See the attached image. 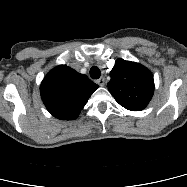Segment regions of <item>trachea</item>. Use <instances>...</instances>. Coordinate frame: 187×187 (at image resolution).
<instances>
[{"instance_id":"obj_1","label":"trachea","mask_w":187,"mask_h":187,"mask_svg":"<svg viewBox=\"0 0 187 187\" xmlns=\"http://www.w3.org/2000/svg\"><path fill=\"white\" fill-rule=\"evenodd\" d=\"M100 75H101V71L98 67H96V66L91 67V69H90L91 78L98 79V78H100Z\"/></svg>"}]
</instances>
